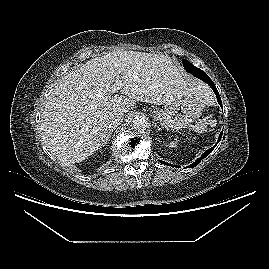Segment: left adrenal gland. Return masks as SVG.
Here are the masks:
<instances>
[{
  "label": "left adrenal gland",
  "mask_w": 269,
  "mask_h": 269,
  "mask_svg": "<svg viewBox=\"0 0 269 269\" xmlns=\"http://www.w3.org/2000/svg\"><path fill=\"white\" fill-rule=\"evenodd\" d=\"M154 127L156 128V130L160 131V128L156 123H155Z\"/></svg>",
  "instance_id": "1"
}]
</instances>
